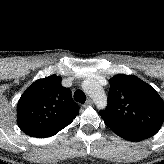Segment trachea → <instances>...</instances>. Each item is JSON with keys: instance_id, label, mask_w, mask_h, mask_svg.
Here are the masks:
<instances>
[{"instance_id": "3493384b", "label": "trachea", "mask_w": 164, "mask_h": 164, "mask_svg": "<svg viewBox=\"0 0 164 164\" xmlns=\"http://www.w3.org/2000/svg\"><path fill=\"white\" fill-rule=\"evenodd\" d=\"M74 99L79 103H85L86 95L81 90H76L74 93Z\"/></svg>"}]
</instances>
